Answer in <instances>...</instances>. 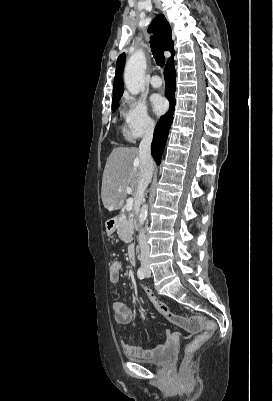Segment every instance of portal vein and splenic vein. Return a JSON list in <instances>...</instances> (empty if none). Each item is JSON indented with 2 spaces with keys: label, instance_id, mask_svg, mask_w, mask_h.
Here are the masks:
<instances>
[{
  "label": "portal vein and splenic vein",
  "instance_id": "portal-vein-and-splenic-vein-1",
  "mask_svg": "<svg viewBox=\"0 0 273 401\" xmlns=\"http://www.w3.org/2000/svg\"><path fill=\"white\" fill-rule=\"evenodd\" d=\"M126 192H128V194H131L132 188H130V186H127ZM132 207H133V198H127L126 211H131Z\"/></svg>",
  "mask_w": 273,
  "mask_h": 401
}]
</instances>
